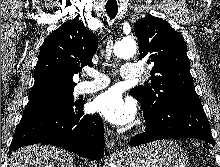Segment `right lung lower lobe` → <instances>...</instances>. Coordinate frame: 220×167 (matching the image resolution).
<instances>
[{"mask_svg": "<svg viewBox=\"0 0 220 167\" xmlns=\"http://www.w3.org/2000/svg\"><path fill=\"white\" fill-rule=\"evenodd\" d=\"M83 101L39 100L27 104L15 130L9 154L25 145L51 144L88 159L104 157L100 116L85 115Z\"/></svg>", "mask_w": 220, "mask_h": 167, "instance_id": "98d812e1", "label": "right lung lower lobe"}]
</instances>
